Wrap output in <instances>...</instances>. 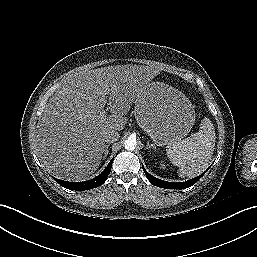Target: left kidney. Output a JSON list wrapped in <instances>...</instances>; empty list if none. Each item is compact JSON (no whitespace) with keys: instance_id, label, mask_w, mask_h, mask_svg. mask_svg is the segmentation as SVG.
<instances>
[{"instance_id":"5707ae66","label":"left kidney","mask_w":257,"mask_h":257,"mask_svg":"<svg viewBox=\"0 0 257 257\" xmlns=\"http://www.w3.org/2000/svg\"><path fill=\"white\" fill-rule=\"evenodd\" d=\"M160 168L161 169H166V165H165L164 161L160 162Z\"/></svg>"}]
</instances>
